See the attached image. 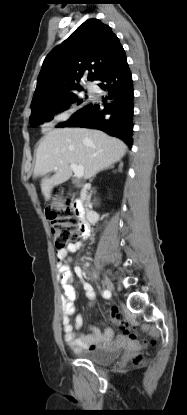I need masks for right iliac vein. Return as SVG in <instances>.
Returning <instances> with one entry per match:
<instances>
[{
  "label": "right iliac vein",
  "instance_id": "63e3f726",
  "mask_svg": "<svg viewBox=\"0 0 187 415\" xmlns=\"http://www.w3.org/2000/svg\"><path fill=\"white\" fill-rule=\"evenodd\" d=\"M104 284L106 285L109 291H114V284L107 276L104 277Z\"/></svg>",
  "mask_w": 187,
  "mask_h": 415
}]
</instances>
